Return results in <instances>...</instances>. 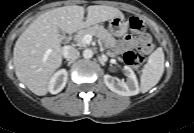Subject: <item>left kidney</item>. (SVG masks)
I'll list each match as a JSON object with an SVG mask.
<instances>
[{"instance_id":"left-kidney-1","label":"left kidney","mask_w":194,"mask_h":133,"mask_svg":"<svg viewBox=\"0 0 194 133\" xmlns=\"http://www.w3.org/2000/svg\"><path fill=\"white\" fill-rule=\"evenodd\" d=\"M126 81H115L111 75H104V82L106 86L113 92L121 96H133L139 93V85L133 70L129 66L124 67Z\"/></svg>"}]
</instances>
